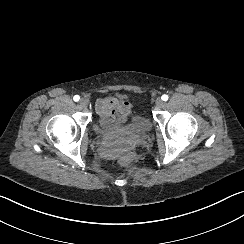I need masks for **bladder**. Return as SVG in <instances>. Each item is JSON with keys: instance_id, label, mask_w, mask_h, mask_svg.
Returning a JSON list of instances; mask_svg holds the SVG:
<instances>
[{"instance_id": "1", "label": "bladder", "mask_w": 244, "mask_h": 244, "mask_svg": "<svg viewBox=\"0 0 244 244\" xmlns=\"http://www.w3.org/2000/svg\"><path fill=\"white\" fill-rule=\"evenodd\" d=\"M119 129L133 132L138 135H147L151 130V122L145 116L134 114L130 118V123L124 127H120ZM103 135L105 134L103 133Z\"/></svg>"}]
</instances>
